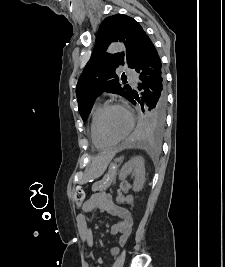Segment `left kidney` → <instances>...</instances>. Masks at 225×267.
Returning <instances> with one entry per match:
<instances>
[{"label": "left kidney", "mask_w": 225, "mask_h": 267, "mask_svg": "<svg viewBox=\"0 0 225 267\" xmlns=\"http://www.w3.org/2000/svg\"><path fill=\"white\" fill-rule=\"evenodd\" d=\"M130 173H133L135 176L133 182V190L135 192H139L142 189L143 184L145 182L144 159L141 156H136L132 158L122 166L119 173V179L125 180ZM116 201L118 203H124V202L132 203L133 196L124 197L122 195H119L116 198Z\"/></svg>", "instance_id": "obj_1"}]
</instances>
